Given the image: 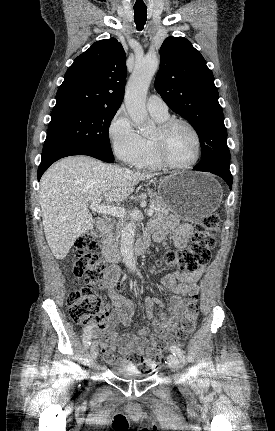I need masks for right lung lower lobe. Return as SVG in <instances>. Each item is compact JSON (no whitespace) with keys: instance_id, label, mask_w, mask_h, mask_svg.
Segmentation results:
<instances>
[{"instance_id":"right-lung-lower-lobe-1","label":"right lung lower lobe","mask_w":275,"mask_h":431,"mask_svg":"<svg viewBox=\"0 0 275 431\" xmlns=\"http://www.w3.org/2000/svg\"><path fill=\"white\" fill-rule=\"evenodd\" d=\"M71 155H88L108 163L114 161L113 155L90 145L77 143L48 145L43 147L42 159L38 167V180L52 163Z\"/></svg>"}]
</instances>
